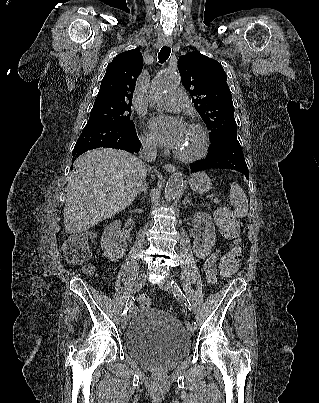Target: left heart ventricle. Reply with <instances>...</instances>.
<instances>
[{"mask_svg": "<svg viewBox=\"0 0 319 403\" xmlns=\"http://www.w3.org/2000/svg\"><path fill=\"white\" fill-rule=\"evenodd\" d=\"M200 144L198 133L187 127L185 128L184 139L177 151L185 155H191L198 151Z\"/></svg>", "mask_w": 319, "mask_h": 403, "instance_id": "b2bd125f", "label": "left heart ventricle"}]
</instances>
